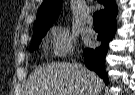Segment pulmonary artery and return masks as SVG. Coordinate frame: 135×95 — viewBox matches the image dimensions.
I'll return each instance as SVG.
<instances>
[{"label": "pulmonary artery", "mask_w": 135, "mask_h": 95, "mask_svg": "<svg viewBox=\"0 0 135 95\" xmlns=\"http://www.w3.org/2000/svg\"><path fill=\"white\" fill-rule=\"evenodd\" d=\"M85 30L86 32H88L89 34H92L94 32V28L91 24H88L86 27H85Z\"/></svg>", "instance_id": "pulmonary-artery-1"}]
</instances>
